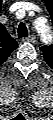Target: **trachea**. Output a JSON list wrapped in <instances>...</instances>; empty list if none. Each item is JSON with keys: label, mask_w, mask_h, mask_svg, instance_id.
Instances as JSON below:
<instances>
[{"label": "trachea", "mask_w": 53, "mask_h": 120, "mask_svg": "<svg viewBox=\"0 0 53 120\" xmlns=\"http://www.w3.org/2000/svg\"><path fill=\"white\" fill-rule=\"evenodd\" d=\"M18 38H23L28 36V30L24 23H20L17 29Z\"/></svg>", "instance_id": "obj_1"}]
</instances>
